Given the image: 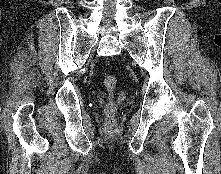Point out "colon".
<instances>
[{
    "mask_svg": "<svg viewBox=\"0 0 221 174\" xmlns=\"http://www.w3.org/2000/svg\"><path fill=\"white\" fill-rule=\"evenodd\" d=\"M103 84L109 94V101L106 105L105 112H106V117L109 122V124L113 123V118L116 112V106L112 100L113 94L116 89L117 85V79L114 75H105L103 78Z\"/></svg>",
    "mask_w": 221,
    "mask_h": 174,
    "instance_id": "obj_1",
    "label": "colon"
}]
</instances>
